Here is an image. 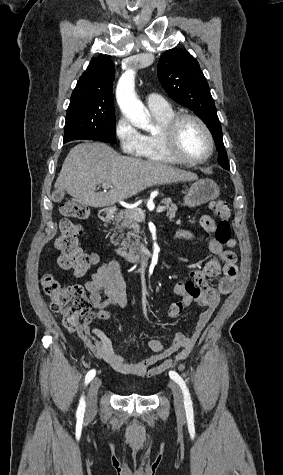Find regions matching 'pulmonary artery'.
Returning a JSON list of instances; mask_svg holds the SVG:
<instances>
[{
    "instance_id": "1",
    "label": "pulmonary artery",
    "mask_w": 283,
    "mask_h": 475,
    "mask_svg": "<svg viewBox=\"0 0 283 475\" xmlns=\"http://www.w3.org/2000/svg\"><path fill=\"white\" fill-rule=\"evenodd\" d=\"M118 90H133V89H118ZM146 104L150 110L165 109L169 107L168 102L158 94H149L146 96Z\"/></svg>"
}]
</instances>
